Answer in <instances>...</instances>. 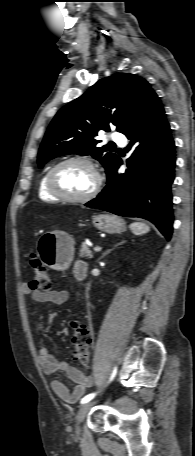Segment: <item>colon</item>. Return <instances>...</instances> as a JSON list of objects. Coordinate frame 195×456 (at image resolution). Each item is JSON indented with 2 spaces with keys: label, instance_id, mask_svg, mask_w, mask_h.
<instances>
[{
  "label": "colon",
  "instance_id": "1",
  "mask_svg": "<svg viewBox=\"0 0 195 456\" xmlns=\"http://www.w3.org/2000/svg\"><path fill=\"white\" fill-rule=\"evenodd\" d=\"M30 265L34 272L29 286L34 290L49 292L52 288L50 275L35 255L30 256ZM72 330L71 342L74 349V358L84 365H88L91 354L92 335L81 318H72L69 321Z\"/></svg>",
  "mask_w": 195,
  "mask_h": 456
}]
</instances>
